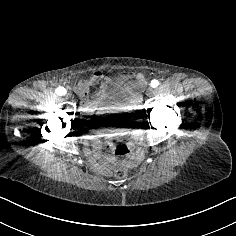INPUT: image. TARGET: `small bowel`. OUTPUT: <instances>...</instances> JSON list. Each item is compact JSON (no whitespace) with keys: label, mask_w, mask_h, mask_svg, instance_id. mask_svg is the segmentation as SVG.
Instances as JSON below:
<instances>
[{"label":"small bowel","mask_w":236,"mask_h":236,"mask_svg":"<svg viewBox=\"0 0 236 236\" xmlns=\"http://www.w3.org/2000/svg\"><path fill=\"white\" fill-rule=\"evenodd\" d=\"M135 77L131 73H123L116 77H108L101 72H95L92 76L80 80L76 85V90L81 98V113L85 118L101 112L102 105L99 100L90 99L88 92L91 86L101 84L102 95L106 96L105 84H121ZM138 81H143L142 76H136ZM138 83H131L124 89L116 93L119 100L135 105L139 102ZM116 139H126L125 142L115 144ZM85 142L90 147L87 154L95 166L103 172H109L111 168L120 164L123 166H133L139 163L145 152L143 134L138 124L126 125L123 127H113L103 132H96L85 136ZM106 147L108 153H103Z\"/></svg>","instance_id":"1"}]
</instances>
